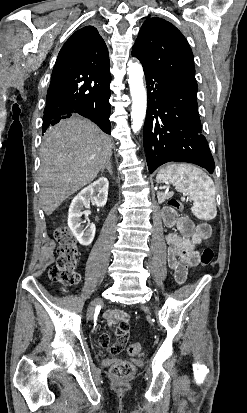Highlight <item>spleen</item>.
<instances>
[{
    "mask_svg": "<svg viewBox=\"0 0 247 413\" xmlns=\"http://www.w3.org/2000/svg\"><path fill=\"white\" fill-rule=\"evenodd\" d=\"M169 168H160L156 178L157 182H173L179 192H189L190 200H194V213L205 217H211L216 213L215 207V186L212 178L203 172L201 168H181L177 176L168 180ZM200 204H203V211H199Z\"/></svg>",
    "mask_w": 247,
    "mask_h": 413,
    "instance_id": "spleen-1",
    "label": "spleen"
}]
</instances>
